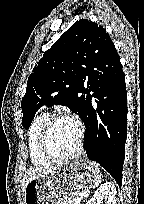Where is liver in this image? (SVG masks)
Segmentation results:
<instances>
[{"instance_id":"obj_1","label":"liver","mask_w":144,"mask_h":204,"mask_svg":"<svg viewBox=\"0 0 144 204\" xmlns=\"http://www.w3.org/2000/svg\"><path fill=\"white\" fill-rule=\"evenodd\" d=\"M60 166H46V167H35L27 170L22 180V190L25 191L26 185L31 179L37 177H44L54 170L58 169Z\"/></svg>"}]
</instances>
